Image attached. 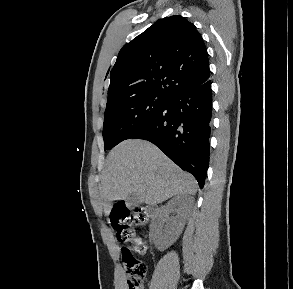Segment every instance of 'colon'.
Returning a JSON list of instances; mask_svg holds the SVG:
<instances>
[{
  "mask_svg": "<svg viewBox=\"0 0 293 289\" xmlns=\"http://www.w3.org/2000/svg\"><path fill=\"white\" fill-rule=\"evenodd\" d=\"M148 220L146 208L136 206L127 208L119 206L110 216L112 227L120 242L132 243V248L123 247L122 258L126 268L127 289H142L147 274L146 264L134 256V252L144 254L147 250L146 243L135 236L133 225H144Z\"/></svg>",
  "mask_w": 293,
  "mask_h": 289,
  "instance_id": "obj_1",
  "label": "colon"
}]
</instances>
